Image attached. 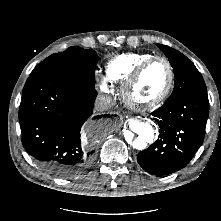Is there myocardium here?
Returning <instances> with one entry per match:
<instances>
[{"label": "myocardium", "mask_w": 221, "mask_h": 221, "mask_svg": "<svg viewBox=\"0 0 221 221\" xmlns=\"http://www.w3.org/2000/svg\"><path fill=\"white\" fill-rule=\"evenodd\" d=\"M156 61H162L167 66L169 73L168 83L163 92L158 97L148 102H139L133 97V89L146 69ZM174 83L175 73L171 62L166 57L156 55L148 58L137 67L131 76L123 83L121 88V95L124 103L128 107L139 111H148L159 107L167 100L174 88Z\"/></svg>", "instance_id": "1"}]
</instances>
